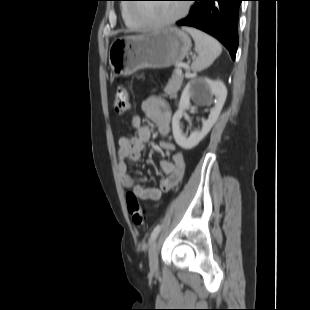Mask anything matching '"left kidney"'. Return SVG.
Here are the masks:
<instances>
[{
	"instance_id": "1",
	"label": "left kidney",
	"mask_w": 310,
	"mask_h": 310,
	"mask_svg": "<svg viewBox=\"0 0 310 310\" xmlns=\"http://www.w3.org/2000/svg\"><path fill=\"white\" fill-rule=\"evenodd\" d=\"M211 95L216 97V104L210 110L209 117L203 122L202 129L200 131H194L187 138L182 134L180 128V119L182 118L186 109L190 107V98L195 96L197 101L204 103ZM227 96V89L221 81H213L208 78L200 79L187 85L184 89L179 108L172 119V131L175 142L183 149H192L195 147L211 130L215 122L217 121L222 107L225 103Z\"/></svg>"
}]
</instances>
